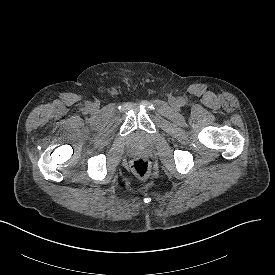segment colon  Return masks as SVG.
Listing matches in <instances>:
<instances>
[{
	"label": "colon",
	"instance_id": "5ec220e1",
	"mask_svg": "<svg viewBox=\"0 0 275 275\" xmlns=\"http://www.w3.org/2000/svg\"><path fill=\"white\" fill-rule=\"evenodd\" d=\"M131 168L133 173L141 179L148 178L151 172L150 164L144 158H136L132 162Z\"/></svg>",
	"mask_w": 275,
	"mask_h": 275
}]
</instances>
